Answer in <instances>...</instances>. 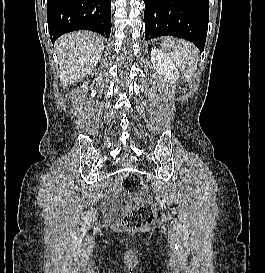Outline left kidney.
Returning <instances> with one entry per match:
<instances>
[{"instance_id":"left-kidney-1","label":"left kidney","mask_w":265,"mask_h":273,"mask_svg":"<svg viewBox=\"0 0 265 273\" xmlns=\"http://www.w3.org/2000/svg\"><path fill=\"white\" fill-rule=\"evenodd\" d=\"M151 62L153 68L159 75L164 76L170 81H176L179 78V71L172 60L161 50L153 49L151 51Z\"/></svg>"}]
</instances>
